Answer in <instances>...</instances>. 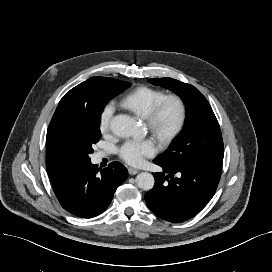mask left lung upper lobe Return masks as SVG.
Here are the masks:
<instances>
[{"label":"left lung upper lobe","instance_id":"1","mask_svg":"<svg viewBox=\"0 0 272 272\" xmlns=\"http://www.w3.org/2000/svg\"><path fill=\"white\" fill-rule=\"evenodd\" d=\"M150 82L172 90L187 106L186 121L180 136L155 161L167 165L187 162H223L224 146L215 114L201 92L190 84L172 78H155Z\"/></svg>","mask_w":272,"mask_h":272}]
</instances>
